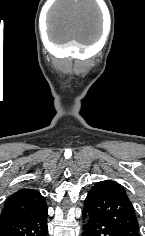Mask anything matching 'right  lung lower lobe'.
Instances as JSON below:
<instances>
[{
    "label": "right lung lower lobe",
    "mask_w": 145,
    "mask_h": 236,
    "mask_svg": "<svg viewBox=\"0 0 145 236\" xmlns=\"http://www.w3.org/2000/svg\"><path fill=\"white\" fill-rule=\"evenodd\" d=\"M47 208L0 224V236H47Z\"/></svg>",
    "instance_id": "obj_1"
}]
</instances>
